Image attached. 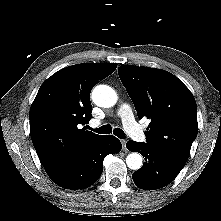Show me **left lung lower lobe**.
<instances>
[{
	"mask_svg": "<svg viewBox=\"0 0 221 221\" xmlns=\"http://www.w3.org/2000/svg\"><path fill=\"white\" fill-rule=\"evenodd\" d=\"M126 147L145 158L143 166L132 175L134 183L141 189L156 190L171 183L183 165L171 160L147 143L128 141Z\"/></svg>",
	"mask_w": 221,
	"mask_h": 221,
	"instance_id": "obj_1",
	"label": "left lung lower lobe"
}]
</instances>
